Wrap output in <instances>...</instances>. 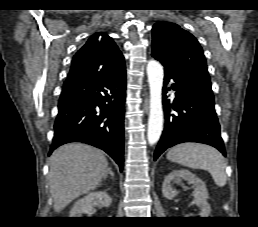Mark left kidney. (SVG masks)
<instances>
[{
    "mask_svg": "<svg viewBox=\"0 0 258 227\" xmlns=\"http://www.w3.org/2000/svg\"><path fill=\"white\" fill-rule=\"evenodd\" d=\"M182 179L188 181L190 184H193V204L197 205L200 208V217H209L211 207L207 202L208 191L205 182H203L200 178H198L195 174L188 170H173L171 173H169L165 177L163 182V195L168 199H172L176 193L173 188V184L180 182Z\"/></svg>",
    "mask_w": 258,
    "mask_h": 227,
    "instance_id": "1",
    "label": "left kidney"
}]
</instances>
